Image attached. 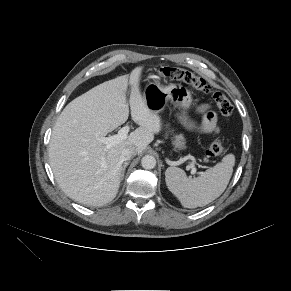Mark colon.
Instances as JSON below:
<instances>
[{
	"instance_id": "colon-1",
	"label": "colon",
	"mask_w": 291,
	"mask_h": 291,
	"mask_svg": "<svg viewBox=\"0 0 291 291\" xmlns=\"http://www.w3.org/2000/svg\"><path fill=\"white\" fill-rule=\"evenodd\" d=\"M160 76L172 81H179L188 84L203 93L211 94L220 114L223 117L231 116L233 106L229 99L220 91H215L211 88L208 82L188 70L178 67H163L159 70ZM225 150L221 140L216 139L210 143L207 149L209 156L215 157L221 155Z\"/></svg>"
}]
</instances>
